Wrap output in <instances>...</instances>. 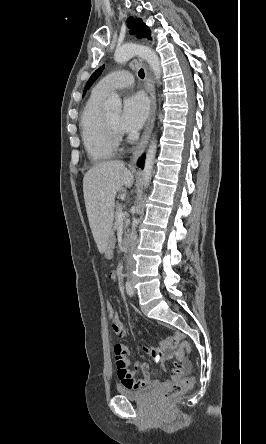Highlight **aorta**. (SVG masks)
<instances>
[{"instance_id": "1", "label": "aorta", "mask_w": 266, "mask_h": 444, "mask_svg": "<svg viewBox=\"0 0 266 444\" xmlns=\"http://www.w3.org/2000/svg\"><path fill=\"white\" fill-rule=\"evenodd\" d=\"M134 56H138L150 65L156 81L159 83L161 78V67L158 55L154 50L147 46L137 44H125L116 49L114 59L117 63H124ZM122 109L121 99L118 94H111L104 104V111L111 114H120ZM156 140L152 139L149 145L144 169L142 172V183L144 188L148 187L154 168V160L156 156Z\"/></svg>"}]
</instances>
